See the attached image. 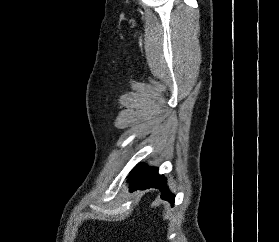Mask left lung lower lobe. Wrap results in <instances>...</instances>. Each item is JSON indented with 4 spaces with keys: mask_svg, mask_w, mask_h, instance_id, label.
<instances>
[{
    "mask_svg": "<svg viewBox=\"0 0 279 242\" xmlns=\"http://www.w3.org/2000/svg\"><path fill=\"white\" fill-rule=\"evenodd\" d=\"M132 184L130 191L138 189H147L155 187L161 189L162 198L174 205V195L168 191L166 180L162 175H159L156 168H149L145 165H139L134 168L130 174Z\"/></svg>",
    "mask_w": 279,
    "mask_h": 242,
    "instance_id": "obj_1",
    "label": "left lung lower lobe"
}]
</instances>
